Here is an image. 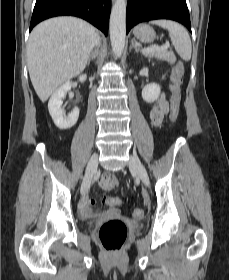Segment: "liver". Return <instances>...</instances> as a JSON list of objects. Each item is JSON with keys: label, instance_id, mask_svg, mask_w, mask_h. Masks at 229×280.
<instances>
[{"label": "liver", "instance_id": "liver-1", "mask_svg": "<svg viewBox=\"0 0 229 280\" xmlns=\"http://www.w3.org/2000/svg\"><path fill=\"white\" fill-rule=\"evenodd\" d=\"M94 38L95 28L75 17L48 19L32 30L27 46V66L42 102L85 69Z\"/></svg>", "mask_w": 229, "mask_h": 280}]
</instances>
